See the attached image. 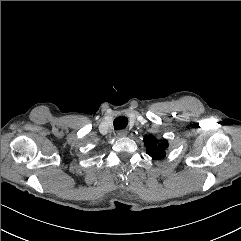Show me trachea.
Masks as SVG:
<instances>
[{"label": "trachea", "instance_id": "3493384b", "mask_svg": "<svg viewBox=\"0 0 241 241\" xmlns=\"http://www.w3.org/2000/svg\"><path fill=\"white\" fill-rule=\"evenodd\" d=\"M113 124H114L115 130L124 129L128 124V119L123 116L117 117V118H115Z\"/></svg>", "mask_w": 241, "mask_h": 241}]
</instances>
